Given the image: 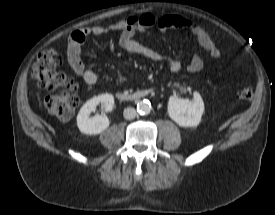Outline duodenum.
Listing matches in <instances>:
<instances>
[{"mask_svg": "<svg viewBox=\"0 0 275 215\" xmlns=\"http://www.w3.org/2000/svg\"><path fill=\"white\" fill-rule=\"evenodd\" d=\"M152 92V89H143L131 93L118 92L116 97L121 102H133L148 97Z\"/></svg>", "mask_w": 275, "mask_h": 215, "instance_id": "410a0bca", "label": "duodenum"}]
</instances>
